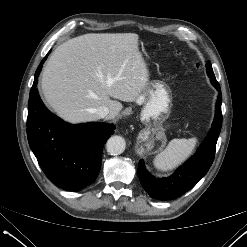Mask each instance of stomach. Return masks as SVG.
<instances>
[{"label":"stomach","mask_w":247,"mask_h":247,"mask_svg":"<svg viewBox=\"0 0 247 247\" xmlns=\"http://www.w3.org/2000/svg\"><path fill=\"white\" fill-rule=\"evenodd\" d=\"M136 102L143 105L140 113L141 121L146 125H159L170 115L172 93L165 82L154 80L148 83Z\"/></svg>","instance_id":"0dacf381"}]
</instances>
